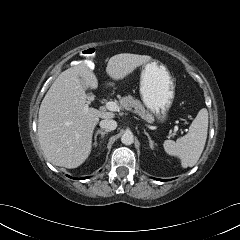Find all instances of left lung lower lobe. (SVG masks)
<instances>
[{
  "instance_id": "0a47b994",
  "label": "left lung lower lobe",
  "mask_w": 240,
  "mask_h": 240,
  "mask_svg": "<svg viewBox=\"0 0 240 240\" xmlns=\"http://www.w3.org/2000/svg\"><path fill=\"white\" fill-rule=\"evenodd\" d=\"M156 180H160V181H166V180H162V179H156Z\"/></svg>"
}]
</instances>
